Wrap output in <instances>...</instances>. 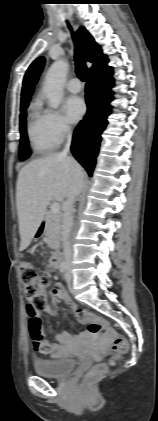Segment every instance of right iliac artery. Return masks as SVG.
<instances>
[{
    "label": "right iliac artery",
    "mask_w": 158,
    "mask_h": 421,
    "mask_svg": "<svg viewBox=\"0 0 158 421\" xmlns=\"http://www.w3.org/2000/svg\"><path fill=\"white\" fill-rule=\"evenodd\" d=\"M66 268H67L66 263L65 262H62L61 265H60V272L61 273H64L65 270H66Z\"/></svg>",
    "instance_id": "82829eb1"
}]
</instances>
